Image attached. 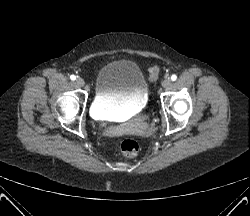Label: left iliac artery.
Returning a JSON list of instances; mask_svg holds the SVG:
<instances>
[{"label":"left iliac artery","mask_w":250,"mask_h":216,"mask_svg":"<svg viewBox=\"0 0 250 216\" xmlns=\"http://www.w3.org/2000/svg\"><path fill=\"white\" fill-rule=\"evenodd\" d=\"M177 79V76L175 75V74H173L172 76H171V80L172 81H175Z\"/></svg>","instance_id":"obj_1"}]
</instances>
